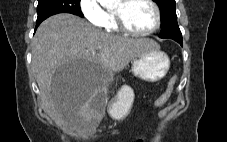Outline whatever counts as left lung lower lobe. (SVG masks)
I'll use <instances>...</instances> for the list:
<instances>
[{
	"label": "left lung lower lobe",
	"instance_id": "0a47b994",
	"mask_svg": "<svg viewBox=\"0 0 227 142\" xmlns=\"http://www.w3.org/2000/svg\"><path fill=\"white\" fill-rule=\"evenodd\" d=\"M176 41V40H175ZM182 46V41H177Z\"/></svg>",
	"mask_w": 227,
	"mask_h": 142
}]
</instances>
